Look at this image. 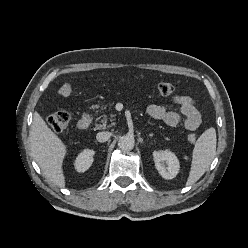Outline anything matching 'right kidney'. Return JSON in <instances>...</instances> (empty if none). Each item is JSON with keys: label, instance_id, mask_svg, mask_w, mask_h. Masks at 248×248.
<instances>
[{"label": "right kidney", "instance_id": "obj_1", "mask_svg": "<svg viewBox=\"0 0 248 248\" xmlns=\"http://www.w3.org/2000/svg\"><path fill=\"white\" fill-rule=\"evenodd\" d=\"M95 152L91 149H84L76 158L74 162L77 172H85L93 163V155Z\"/></svg>", "mask_w": 248, "mask_h": 248}]
</instances>
